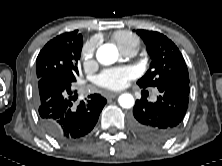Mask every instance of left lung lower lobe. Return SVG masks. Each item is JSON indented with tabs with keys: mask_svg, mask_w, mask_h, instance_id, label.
Segmentation results:
<instances>
[{
	"mask_svg": "<svg viewBox=\"0 0 222 166\" xmlns=\"http://www.w3.org/2000/svg\"><path fill=\"white\" fill-rule=\"evenodd\" d=\"M160 95L155 103L137 100L130 124L133 131L150 142L161 143L178 131L189 102V83L165 81L157 86Z\"/></svg>",
	"mask_w": 222,
	"mask_h": 166,
	"instance_id": "1",
	"label": "left lung lower lobe"
}]
</instances>
